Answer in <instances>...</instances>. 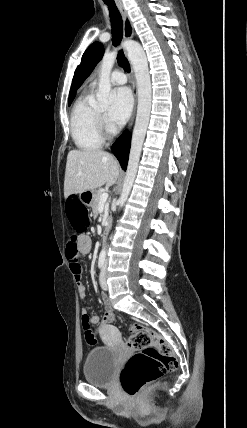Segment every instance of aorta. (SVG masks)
Returning a JSON list of instances; mask_svg holds the SVG:
<instances>
[{
    "mask_svg": "<svg viewBox=\"0 0 247 428\" xmlns=\"http://www.w3.org/2000/svg\"><path fill=\"white\" fill-rule=\"evenodd\" d=\"M126 48L128 59L132 64L137 81L138 106L126 176L122 193L118 200L120 208L123 207L128 199L137 174L142 145L145 139L151 111V81L145 52L140 45L131 44L127 45ZM116 57L117 53L115 51L105 53L101 61L98 92L96 95L97 104L100 108L108 107L112 101L110 94V74ZM100 255L106 256V247L102 249Z\"/></svg>",
    "mask_w": 247,
    "mask_h": 428,
    "instance_id": "obj_1",
    "label": "aorta"
}]
</instances>
